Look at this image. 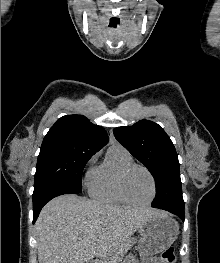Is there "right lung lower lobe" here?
<instances>
[{
  "label": "right lung lower lobe",
  "mask_w": 220,
  "mask_h": 263,
  "mask_svg": "<svg viewBox=\"0 0 220 263\" xmlns=\"http://www.w3.org/2000/svg\"><path fill=\"white\" fill-rule=\"evenodd\" d=\"M81 190L66 187H48L33 194V223H35L42 207L51 199L63 194H78Z\"/></svg>",
  "instance_id": "1"
}]
</instances>
